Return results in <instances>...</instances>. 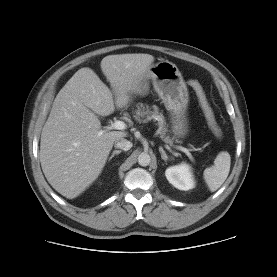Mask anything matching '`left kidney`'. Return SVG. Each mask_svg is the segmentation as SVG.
<instances>
[{
  "mask_svg": "<svg viewBox=\"0 0 277 277\" xmlns=\"http://www.w3.org/2000/svg\"><path fill=\"white\" fill-rule=\"evenodd\" d=\"M165 176L169 183L179 190L187 191L195 187L190 166L179 164L166 169Z\"/></svg>",
  "mask_w": 277,
  "mask_h": 277,
  "instance_id": "1",
  "label": "left kidney"
}]
</instances>
